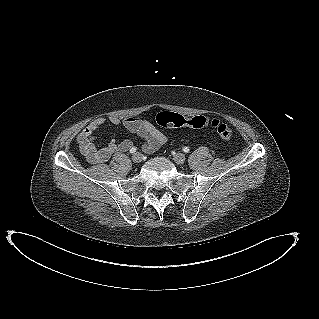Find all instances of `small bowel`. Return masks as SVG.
Here are the masks:
<instances>
[{
  "label": "small bowel",
  "instance_id": "1",
  "mask_svg": "<svg viewBox=\"0 0 319 319\" xmlns=\"http://www.w3.org/2000/svg\"><path fill=\"white\" fill-rule=\"evenodd\" d=\"M107 121L114 126L122 125L127 131L138 135L143 140L142 150L145 153H153L169 140L166 134L142 118L128 117L121 120L116 116H111L108 119L98 117L86 126L77 138L81 153L92 164L105 163L114 154L125 153L133 148V142L129 139L121 142L112 140L105 146H97L95 134Z\"/></svg>",
  "mask_w": 319,
  "mask_h": 319
}]
</instances>
